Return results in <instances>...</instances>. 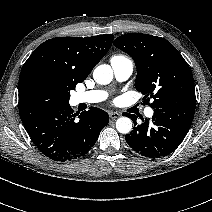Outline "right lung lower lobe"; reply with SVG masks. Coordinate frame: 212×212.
<instances>
[{
  "instance_id": "1",
  "label": "right lung lower lobe",
  "mask_w": 212,
  "mask_h": 212,
  "mask_svg": "<svg viewBox=\"0 0 212 212\" xmlns=\"http://www.w3.org/2000/svg\"><path fill=\"white\" fill-rule=\"evenodd\" d=\"M19 114L36 147L60 162L87 154L109 122V115L102 109L91 107L79 115L73 114L69 103L52 101H20Z\"/></svg>"
}]
</instances>
